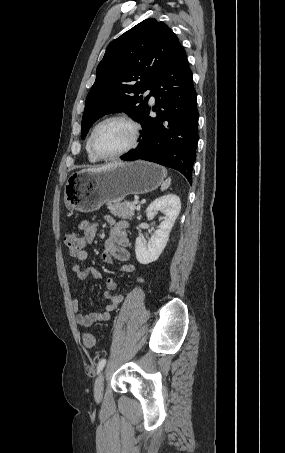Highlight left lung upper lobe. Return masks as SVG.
I'll return each instance as SVG.
<instances>
[{
    "label": "left lung upper lobe",
    "instance_id": "obj_1",
    "mask_svg": "<svg viewBox=\"0 0 285 453\" xmlns=\"http://www.w3.org/2000/svg\"><path fill=\"white\" fill-rule=\"evenodd\" d=\"M179 44L173 31L154 18L142 21L112 41L97 67L95 83L86 98L82 139L96 120L111 112L124 110L139 121L148 108L149 99L139 94L152 90Z\"/></svg>",
    "mask_w": 285,
    "mask_h": 453
}]
</instances>
